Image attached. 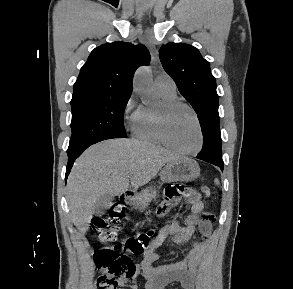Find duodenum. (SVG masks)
<instances>
[{
    "label": "duodenum",
    "instance_id": "duodenum-1",
    "mask_svg": "<svg viewBox=\"0 0 293 289\" xmlns=\"http://www.w3.org/2000/svg\"><path fill=\"white\" fill-rule=\"evenodd\" d=\"M133 193L132 192H125L124 194H122L121 196V202L123 205L125 206H129L133 200Z\"/></svg>",
    "mask_w": 293,
    "mask_h": 289
}]
</instances>
